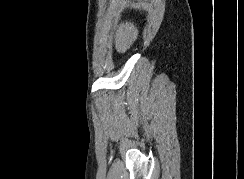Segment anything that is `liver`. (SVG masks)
Listing matches in <instances>:
<instances>
[{
	"instance_id": "6515ba94",
	"label": "liver",
	"mask_w": 244,
	"mask_h": 179,
	"mask_svg": "<svg viewBox=\"0 0 244 179\" xmlns=\"http://www.w3.org/2000/svg\"><path fill=\"white\" fill-rule=\"evenodd\" d=\"M138 30L131 22L120 24L115 36V48L117 52H126L137 40Z\"/></svg>"
}]
</instances>
